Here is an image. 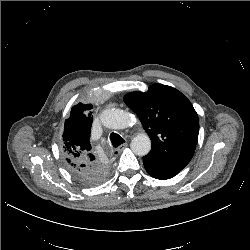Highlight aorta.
I'll use <instances>...</instances> for the list:
<instances>
[{
  "label": "aorta",
  "mask_w": 250,
  "mask_h": 250,
  "mask_svg": "<svg viewBox=\"0 0 250 250\" xmlns=\"http://www.w3.org/2000/svg\"><path fill=\"white\" fill-rule=\"evenodd\" d=\"M102 124L110 129H124L132 122V116L119 109H107L101 114ZM131 149L138 156H145L151 150V140L146 133H140L131 141Z\"/></svg>",
  "instance_id": "762f6f07"
}]
</instances>
